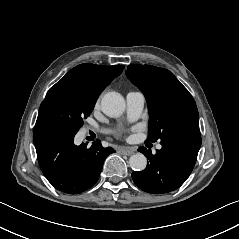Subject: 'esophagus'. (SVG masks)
<instances>
[{
	"mask_svg": "<svg viewBox=\"0 0 239 239\" xmlns=\"http://www.w3.org/2000/svg\"><path fill=\"white\" fill-rule=\"evenodd\" d=\"M119 153L122 154V155L130 156V155H132L134 152H133V150H130V149H124V150H120Z\"/></svg>",
	"mask_w": 239,
	"mask_h": 239,
	"instance_id": "34e87169",
	"label": "esophagus"
}]
</instances>
